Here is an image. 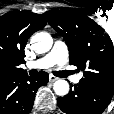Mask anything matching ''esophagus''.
Returning a JSON list of instances; mask_svg holds the SVG:
<instances>
[{"mask_svg":"<svg viewBox=\"0 0 114 114\" xmlns=\"http://www.w3.org/2000/svg\"><path fill=\"white\" fill-rule=\"evenodd\" d=\"M58 78L57 77H55V76H53V75H50L49 76V80L51 81V82H54V81H56Z\"/></svg>","mask_w":114,"mask_h":114,"instance_id":"esophagus-1","label":"esophagus"}]
</instances>
